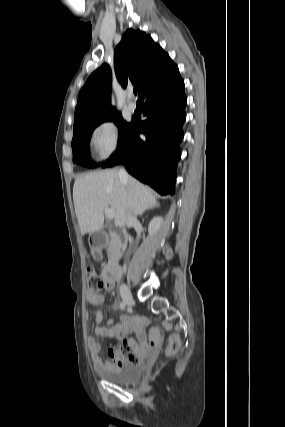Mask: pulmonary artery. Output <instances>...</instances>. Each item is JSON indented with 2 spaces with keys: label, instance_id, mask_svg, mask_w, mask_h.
Segmentation results:
<instances>
[{
  "label": "pulmonary artery",
  "instance_id": "pulmonary-artery-1",
  "mask_svg": "<svg viewBox=\"0 0 285 427\" xmlns=\"http://www.w3.org/2000/svg\"><path fill=\"white\" fill-rule=\"evenodd\" d=\"M131 98V97H130ZM137 109V105H136V103L134 102V101H130L129 102V104H128V110L130 111V112H134L135 110Z\"/></svg>",
  "mask_w": 285,
  "mask_h": 427
}]
</instances>
